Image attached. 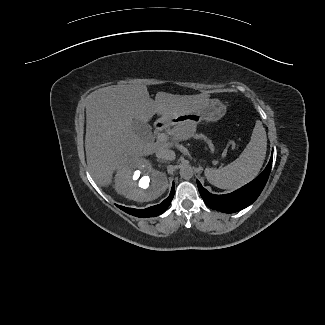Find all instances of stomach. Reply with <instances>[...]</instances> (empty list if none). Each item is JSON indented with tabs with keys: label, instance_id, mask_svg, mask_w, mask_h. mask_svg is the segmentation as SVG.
I'll list each match as a JSON object with an SVG mask.
<instances>
[{
	"label": "stomach",
	"instance_id": "stomach-1",
	"mask_svg": "<svg viewBox=\"0 0 325 325\" xmlns=\"http://www.w3.org/2000/svg\"><path fill=\"white\" fill-rule=\"evenodd\" d=\"M226 113V105L219 99H209L200 104L191 112L179 115L177 117L166 118L162 116L161 120L167 123L176 124H195L202 120L216 122L221 119Z\"/></svg>",
	"mask_w": 325,
	"mask_h": 325
}]
</instances>
